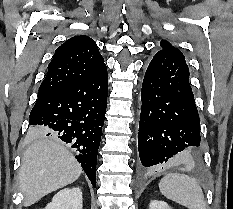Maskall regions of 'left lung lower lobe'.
I'll return each instance as SVG.
<instances>
[{
    "instance_id": "0a47b994",
    "label": "left lung lower lobe",
    "mask_w": 233,
    "mask_h": 209,
    "mask_svg": "<svg viewBox=\"0 0 233 209\" xmlns=\"http://www.w3.org/2000/svg\"><path fill=\"white\" fill-rule=\"evenodd\" d=\"M138 150L148 170L200 162V119L184 58L161 52L151 60L142 84Z\"/></svg>"
}]
</instances>
